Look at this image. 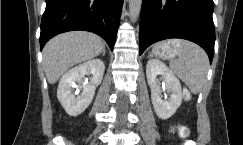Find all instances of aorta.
Here are the masks:
<instances>
[{"label":"aorta","mask_w":243,"mask_h":145,"mask_svg":"<svg viewBox=\"0 0 243 145\" xmlns=\"http://www.w3.org/2000/svg\"><path fill=\"white\" fill-rule=\"evenodd\" d=\"M142 0H129V13L132 22H135L141 10Z\"/></svg>","instance_id":"762f6f07"}]
</instances>
